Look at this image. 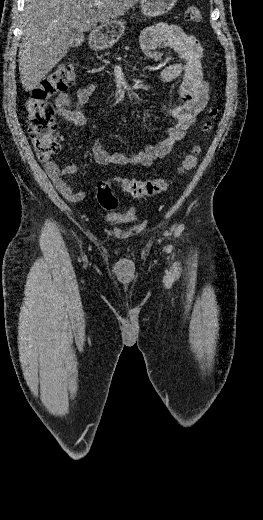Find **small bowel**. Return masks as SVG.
I'll return each mask as SVG.
<instances>
[{
	"instance_id": "c3829d8e",
	"label": "small bowel",
	"mask_w": 263,
	"mask_h": 520,
	"mask_svg": "<svg viewBox=\"0 0 263 520\" xmlns=\"http://www.w3.org/2000/svg\"><path fill=\"white\" fill-rule=\"evenodd\" d=\"M140 46L145 56L152 60H158L164 48L175 51L183 60V63L167 65L160 73V79L165 83L182 76L178 92L179 103L163 106L165 113L174 119V124L169 128L165 139L135 153H109L103 148L101 140L96 139L92 153L96 163L100 165L151 166L155 160L167 156L173 145L184 138L208 103L209 87L203 79L202 47L193 35L177 25L159 23L142 32ZM94 92L95 86L89 84L78 88L73 94L60 93L54 101L57 114L79 128L85 127L86 118L79 107L85 105ZM44 169L64 198L71 202L84 200L85 192L74 191L64 180V176L77 174V166L60 168L56 162L49 161L44 164Z\"/></svg>"
}]
</instances>
